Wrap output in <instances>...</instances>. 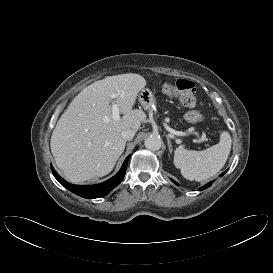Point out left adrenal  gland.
Segmentation results:
<instances>
[{
    "label": "left adrenal gland",
    "mask_w": 273,
    "mask_h": 273,
    "mask_svg": "<svg viewBox=\"0 0 273 273\" xmlns=\"http://www.w3.org/2000/svg\"><path fill=\"white\" fill-rule=\"evenodd\" d=\"M167 141H168L169 151H170V153H172V145H171V142L168 137H167Z\"/></svg>",
    "instance_id": "1"
}]
</instances>
